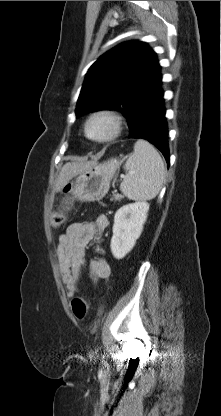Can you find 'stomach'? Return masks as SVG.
<instances>
[{
	"label": "stomach",
	"mask_w": 221,
	"mask_h": 416,
	"mask_svg": "<svg viewBox=\"0 0 221 416\" xmlns=\"http://www.w3.org/2000/svg\"><path fill=\"white\" fill-rule=\"evenodd\" d=\"M119 164V160L112 158L76 175L71 185L74 198L81 202L101 200L107 194Z\"/></svg>",
	"instance_id": "1"
}]
</instances>
